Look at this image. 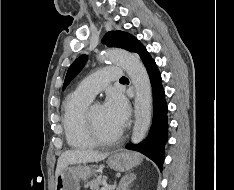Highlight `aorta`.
Returning a JSON list of instances; mask_svg holds the SVG:
<instances>
[{
	"instance_id": "obj_1",
	"label": "aorta",
	"mask_w": 234,
	"mask_h": 190,
	"mask_svg": "<svg viewBox=\"0 0 234 190\" xmlns=\"http://www.w3.org/2000/svg\"><path fill=\"white\" fill-rule=\"evenodd\" d=\"M99 58L101 61L120 65L129 75L135 88V123L132 142L142 141L151 122L152 91L148 73L139 57L122 49H107Z\"/></svg>"
}]
</instances>
